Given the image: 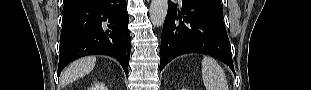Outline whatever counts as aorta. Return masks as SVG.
<instances>
[{"instance_id": "1", "label": "aorta", "mask_w": 311, "mask_h": 90, "mask_svg": "<svg viewBox=\"0 0 311 90\" xmlns=\"http://www.w3.org/2000/svg\"><path fill=\"white\" fill-rule=\"evenodd\" d=\"M168 9V0H151L150 19L154 26H162Z\"/></svg>"}]
</instances>
